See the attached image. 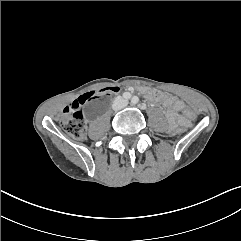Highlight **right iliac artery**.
Instances as JSON below:
<instances>
[{
  "label": "right iliac artery",
  "instance_id": "1",
  "mask_svg": "<svg viewBox=\"0 0 241 241\" xmlns=\"http://www.w3.org/2000/svg\"><path fill=\"white\" fill-rule=\"evenodd\" d=\"M123 98L126 99V100L130 99L131 98V94L129 92H125L123 94Z\"/></svg>",
  "mask_w": 241,
  "mask_h": 241
}]
</instances>
